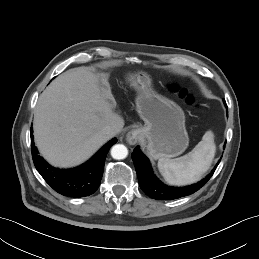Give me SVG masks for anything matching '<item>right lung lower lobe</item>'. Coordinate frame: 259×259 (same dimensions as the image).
<instances>
[{
    "label": "right lung lower lobe",
    "mask_w": 259,
    "mask_h": 259,
    "mask_svg": "<svg viewBox=\"0 0 259 259\" xmlns=\"http://www.w3.org/2000/svg\"><path fill=\"white\" fill-rule=\"evenodd\" d=\"M116 142L117 139H112L87 163L68 170L54 168L49 165L38 154L32 134L31 153L36 169L52 189L64 196L79 198L89 196L98 189L103 175L106 154Z\"/></svg>",
    "instance_id": "98d812e1"
}]
</instances>
